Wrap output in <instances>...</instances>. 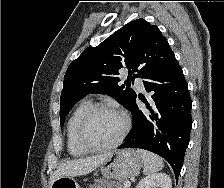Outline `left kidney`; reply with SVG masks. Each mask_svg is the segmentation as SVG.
<instances>
[{"label": "left kidney", "mask_w": 224, "mask_h": 188, "mask_svg": "<svg viewBox=\"0 0 224 188\" xmlns=\"http://www.w3.org/2000/svg\"><path fill=\"white\" fill-rule=\"evenodd\" d=\"M136 188H172V182L169 175L156 173L143 178Z\"/></svg>", "instance_id": "left-kidney-1"}]
</instances>
